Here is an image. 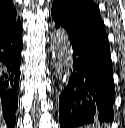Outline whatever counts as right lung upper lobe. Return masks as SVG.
Masks as SVG:
<instances>
[{
  "mask_svg": "<svg viewBox=\"0 0 125 128\" xmlns=\"http://www.w3.org/2000/svg\"><path fill=\"white\" fill-rule=\"evenodd\" d=\"M20 23V19L16 18V9L12 1L0 0V33L15 27Z\"/></svg>",
  "mask_w": 125,
  "mask_h": 128,
  "instance_id": "1",
  "label": "right lung upper lobe"
}]
</instances>
